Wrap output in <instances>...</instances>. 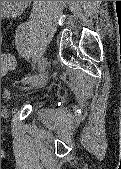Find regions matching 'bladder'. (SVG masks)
Returning <instances> with one entry per match:
<instances>
[{
    "label": "bladder",
    "instance_id": "1",
    "mask_svg": "<svg viewBox=\"0 0 121 169\" xmlns=\"http://www.w3.org/2000/svg\"><path fill=\"white\" fill-rule=\"evenodd\" d=\"M4 97H5L6 99H8V100H13V99H14V94H13V92H12L11 90L6 89V90L4 91Z\"/></svg>",
    "mask_w": 121,
    "mask_h": 169
}]
</instances>
